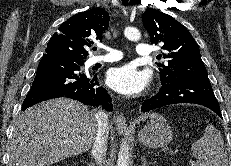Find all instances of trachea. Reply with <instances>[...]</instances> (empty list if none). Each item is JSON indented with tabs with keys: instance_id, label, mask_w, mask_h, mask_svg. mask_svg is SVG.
Returning <instances> with one entry per match:
<instances>
[{
	"instance_id": "1",
	"label": "trachea",
	"mask_w": 231,
	"mask_h": 166,
	"mask_svg": "<svg viewBox=\"0 0 231 166\" xmlns=\"http://www.w3.org/2000/svg\"><path fill=\"white\" fill-rule=\"evenodd\" d=\"M122 3H123V5L126 6L128 4V0H122ZM93 50L95 51V50H97V48L94 47Z\"/></svg>"
}]
</instances>
